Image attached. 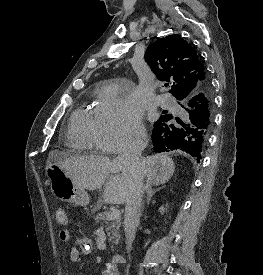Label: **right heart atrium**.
<instances>
[{"mask_svg":"<svg viewBox=\"0 0 263 275\" xmlns=\"http://www.w3.org/2000/svg\"><path fill=\"white\" fill-rule=\"evenodd\" d=\"M98 146L108 153L120 152L145 139L141 110L130 93L107 89L99 105Z\"/></svg>","mask_w":263,"mask_h":275,"instance_id":"obj_1","label":"right heart atrium"}]
</instances>
